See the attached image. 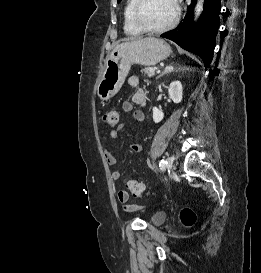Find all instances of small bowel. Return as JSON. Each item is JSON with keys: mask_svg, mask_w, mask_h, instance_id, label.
Instances as JSON below:
<instances>
[{"mask_svg": "<svg viewBox=\"0 0 261 273\" xmlns=\"http://www.w3.org/2000/svg\"><path fill=\"white\" fill-rule=\"evenodd\" d=\"M128 83L130 86L132 87H137L140 83V80L137 76H130L129 79H128ZM132 101L133 103L139 105V106H144L145 103H146V96H145V93L142 91V90H137L134 95H133V98H132ZM122 109L125 111V112H131L133 110V105L131 102L129 101H125L123 104H122ZM133 119L138 122V123H142L145 119V116H144V113L143 111L141 110H135L133 111ZM123 128V124H121L117 130H112L110 133H109V139L110 140H116L118 138V135H119V130ZM130 149L135 152V153H138V152H141L142 150V145L138 142H132L130 144ZM106 154V158H107V161L109 163V165H115L117 160L116 158L114 157V155L109 151V150H106L105 152ZM121 177V173L118 171V170H114L111 172V178L113 180H119ZM118 196V200L124 204V209L128 212H133V211H136L138 210L140 207L137 206V205H130V204H127L128 200H129V194L127 191L125 190H120L117 194Z\"/></svg>", "mask_w": 261, "mask_h": 273, "instance_id": "obj_1", "label": "small bowel"}]
</instances>
